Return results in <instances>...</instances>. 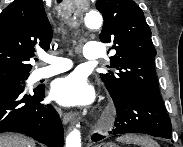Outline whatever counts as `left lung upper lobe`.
<instances>
[{
    "mask_svg": "<svg viewBox=\"0 0 183 147\" xmlns=\"http://www.w3.org/2000/svg\"><path fill=\"white\" fill-rule=\"evenodd\" d=\"M96 8L104 18L100 40L115 51L107 67L116 71L100 74L113 101L134 89L159 93L156 51L143 11L133 0H97Z\"/></svg>",
    "mask_w": 183,
    "mask_h": 147,
    "instance_id": "obj_1",
    "label": "left lung upper lobe"
}]
</instances>
